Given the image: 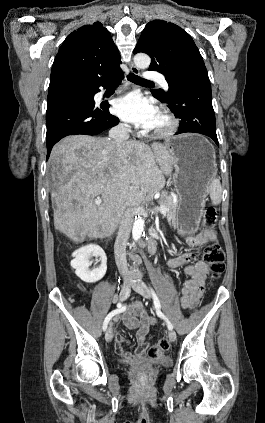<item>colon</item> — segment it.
I'll use <instances>...</instances> for the list:
<instances>
[{"label": "colon", "instance_id": "colon-1", "mask_svg": "<svg viewBox=\"0 0 265 423\" xmlns=\"http://www.w3.org/2000/svg\"><path fill=\"white\" fill-rule=\"evenodd\" d=\"M204 225L214 226L216 222V212L213 208H208L204 214ZM203 260L207 264L210 276L213 279L219 278L225 270V254L218 243H210L204 248ZM170 349L167 338H160L148 349V356L153 360H162L166 357Z\"/></svg>", "mask_w": 265, "mask_h": 423}]
</instances>
